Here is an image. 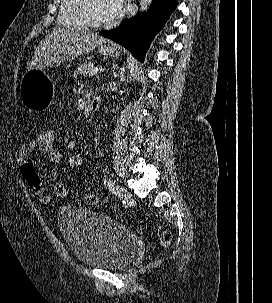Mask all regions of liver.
<instances>
[{"instance_id": "6515ba94", "label": "liver", "mask_w": 272, "mask_h": 303, "mask_svg": "<svg viewBox=\"0 0 272 303\" xmlns=\"http://www.w3.org/2000/svg\"><path fill=\"white\" fill-rule=\"evenodd\" d=\"M106 41L104 37L87 30L55 29L39 43L27 71L72 61Z\"/></svg>"}]
</instances>
